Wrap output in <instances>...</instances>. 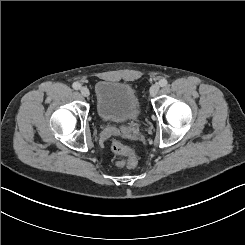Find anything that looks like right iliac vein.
<instances>
[{"label": "right iliac vein", "instance_id": "1", "mask_svg": "<svg viewBox=\"0 0 245 245\" xmlns=\"http://www.w3.org/2000/svg\"><path fill=\"white\" fill-rule=\"evenodd\" d=\"M80 93L84 96V97H88L90 92L89 89L87 87H81L80 88Z\"/></svg>", "mask_w": 245, "mask_h": 245}]
</instances>
